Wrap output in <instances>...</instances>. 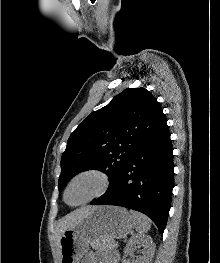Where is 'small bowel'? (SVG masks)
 Wrapping results in <instances>:
<instances>
[{"instance_id": "c3829d8e", "label": "small bowel", "mask_w": 220, "mask_h": 263, "mask_svg": "<svg viewBox=\"0 0 220 263\" xmlns=\"http://www.w3.org/2000/svg\"><path fill=\"white\" fill-rule=\"evenodd\" d=\"M82 263H105V262L100 258H98L93 253H89L86 255Z\"/></svg>"}]
</instances>
